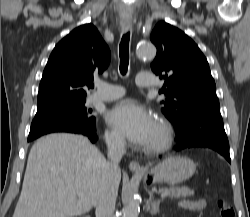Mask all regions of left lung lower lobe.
<instances>
[{
  "label": "left lung lower lobe",
  "instance_id": "obj_1",
  "mask_svg": "<svg viewBox=\"0 0 250 217\" xmlns=\"http://www.w3.org/2000/svg\"><path fill=\"white\" fill-rule=\"evenodd\" d=\"M175 150L203 147L210 148L231 162L229 143L224 130L219 108H211L201 113L188 114L184 124L176 128Z\"/></svg>",
  "mask_w": 250,
  "mask_h": 217
}]
</instances>
